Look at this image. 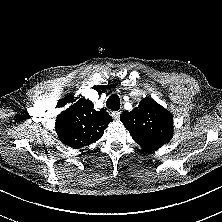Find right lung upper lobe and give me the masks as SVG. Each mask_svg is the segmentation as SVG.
<instances>
[{
	"mask_svg": "<svg viewBox=\"0 0 222 222\" xmlns=\"http://www.w3.org/2000/svg\"><path fill=\"white\" fill-rule=\"evenodd\" d=\"M112 121L106 111H96L90 100L81 98L57 116L55 129L65 145L78 149L99 140Z\"/></svg>",
	"mask_w": 222,
	"mask_h": 222,
	"instance_id": "obj_1",
	"label": "right lung upper lobe"
}]
</instances>
